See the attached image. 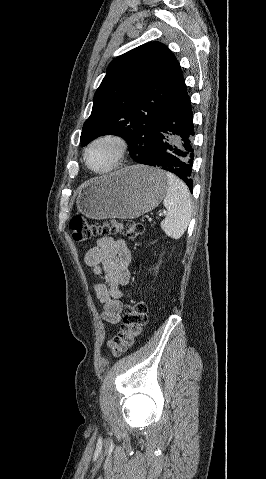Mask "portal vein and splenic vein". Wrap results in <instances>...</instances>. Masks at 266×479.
I'll return each instance as SVG.
<instances>
[{
	"label": "portal vein and splenic vein",
	"instance_id": "portal-vein-and-splenic-vein-1",
	"mask_svg": "<svg viewBox=\"0 0 266 479\" xmlns=\"http://www.w3.org/2000/svg\"><path fill=\"white\" fill-rule=\"evenodd\" d=\"M165 214H166V212H163V213H162V214H160V215H165Z\"/></svg>",
	"mask_w": 266,
	"mask_h": 479
}]
</instances>
